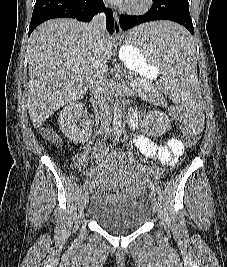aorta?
I'll return each mask as SVG.
<instances>
[{"label": "aorta", "mask_w": 227, "mask_h": 267, "mask_svg": "<svg viewBox=\"0 0 227 267\" xmlns=\"http://www.w3.org/2000/svg\"><path fill=\"white\" fill-rule=\"evenodd\" d=\"M117 97V95H115ZM113 123L115 126H120L122 123V112L118 99L113 105Z\"/></svg>", "instance_id": "1"}]
</instances>
